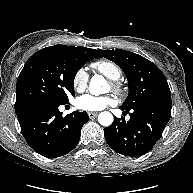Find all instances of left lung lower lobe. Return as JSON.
<instances>
[{
  "label": "left lung lower lobe",
  "instance_id": "0a47b994",
  "mask_svg": "<svg viewBox=\"0 0 193 193\" xmlns=\"http://www.w3.org/2000/svg\"><path fill=\"white\" fill-rule=\"evenodd\" d=\"M171 93L163 94L131 110L130 120L116 118L104 129L108 145L125 156H141L149 152L161 137L171 117Z\"/></svg>",
  "mask_w": 193,
  "mask_h": 193
}]
</instances>
